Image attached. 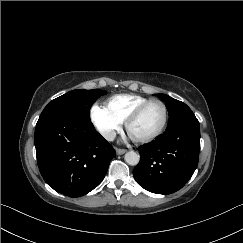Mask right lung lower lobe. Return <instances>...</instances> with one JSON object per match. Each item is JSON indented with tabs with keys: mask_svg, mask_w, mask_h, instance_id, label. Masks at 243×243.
Returning <instances> with one entry per match:
<instances>
[{
	"mask_svg": "<svg viewBox=\"0 0 243 243\" xmlns=\"http://www.w3.org/2000/svg\"><path fill=\"white\" fill-rule=\"evenodd\" d=\"M35 147L45 182L69 197L83 196L96 188L116 154L91 121L68 116L38 121Z\"/></svg>",
	"mask_w": 243,
	"mask_h": 243,
	"instance_id": "98d812e1",
	"label": "right lung lower lobe"
}]
</instances>
